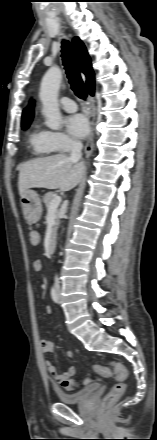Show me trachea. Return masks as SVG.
<instances>
[{
  "label": "trachea",
  "mask_w": 157,
  "mask_h": 440,
  "mask_svg": "<svg viewBox=\"0 0 157 440\" xmlns=\"http://www.w3.org/2000/svg\"><path fill=\"white\" fill-rule=\"evenodd\" d=\"M62 59L73 92L80 99H86L87 90L81 78L72 46L67 40L62 41Z\"/></svg>",
  "instance_id": "3493384b"
}]
</instances>
